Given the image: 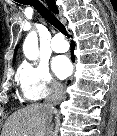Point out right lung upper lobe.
I'll return each mask as SVG.
<instances>
[{"label": "right lung upper lobe", "mask_w": 117, "mask_h": 136, "mask_svg": "<svg viewBox=\"0 0 117 136\" xmlns=\"http://www.w3.org/2000/svg\"><path fill=\"white\" fill-rule=\"evenodd\" d=\"M47 3L50 7V9L54 12V13H58V9H57V6L55 5V0H47ZM17 50V48H16Z\"/></svg>", "instance_id": "right-lung-upper-lobe-1"}]
</instances>
